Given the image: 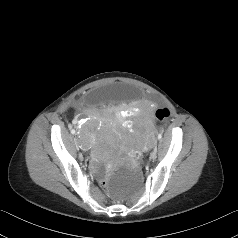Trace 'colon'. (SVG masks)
<instances>
[{"mask_svg": "<svg viewBox=\"0 0 238 238\" xmlns=\"http://www.w3.org/2000/svg\"><path fill=\"white\" fill-rule=\"evenodd\" d=\"M156 117L162 121L165 122L167 121L168 117H169V112L167 109H158L156 111ZM110 179L111 176L108 173H105L101 179L98 181V186L102 189V190H107L109 188V184H110Z\"/></svg>", "mask_w": 238, "mask_h": 238, "instance_id": "colon-1", "label": "colon"}]
</instances>
